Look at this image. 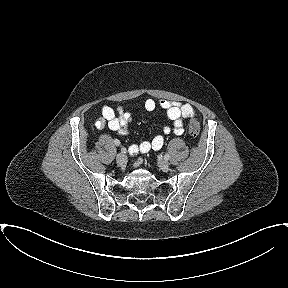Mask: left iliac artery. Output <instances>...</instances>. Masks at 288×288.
<instances>
[{
  "instance_id": "obj_1",
  "label": "left iliac artery",
  "mask_w": 288,
  "mask_h": 288,
  "mask_svg": "<svg viewBox=\"0 0 288 288\" xmlns=\"http://www.w3.org/2000/svg\"><path fill=\"white\" fill-rule=\"evenodd\" d=\"M164 159L168 160V159H169V155H168V154H165V155H164Z\"/></svg>"
}]
</instances>
